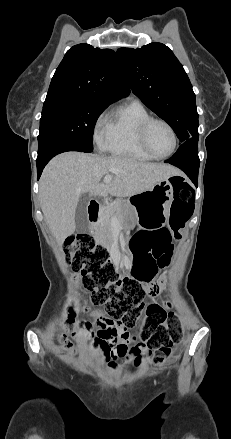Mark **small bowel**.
<instances>
[{"instance_id":"small-bowel-1","label":"small bowel","mask_w":231,"mask_h":439,"mask_svg":"<svg viewBox=\"0 0 231 439\" xmlns=\"http://www.w3.org/2000/svg\"><path fill=\"white\" fill-rule=\"evenodd\" d=\"M136 235H141L142 240L137 241L135 251L130 244V251L133 256V266L137 263L144 264L151 269H158V262L161 257L168 256L171 259L173 253V241L180 236L170 229V227H160L153 230H141ZM136 235L132 238L135 239ZM157 285H150L148 292L156 293ZM157 304H151V307ZM160 306V305H159ZM98 320L100 331L98 332L97 343L108 351L113 359H126L134 356L141 350V346L136 344L135 338L127 331V327L100 312L94 313Z\"/></svg>"}]
</instances>
